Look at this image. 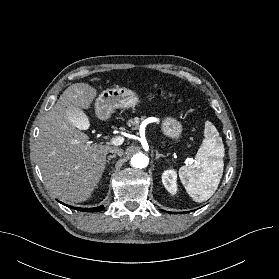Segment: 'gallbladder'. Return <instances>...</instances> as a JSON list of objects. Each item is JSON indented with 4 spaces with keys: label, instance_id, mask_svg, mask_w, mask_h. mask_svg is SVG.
I'll return each instance as SVG.
<instances>
[{
    "label": "gallbladder",
    "instance_id": "1",
    "mask_svg": "<svg viewBox=\"0 0 279 279\" xmlns=\"http://www.w3.org/2000/svg\"><path fill=\"white\" fill-rule=\"evenodd\" d=\"M68 118L70 120V122L75 125L76 127H79L81 129L84 128V125L86 123L85 117L83 112L75 107V106H71L68 108Z\"/></svg>",
    "mask_w": 279,
    "mask_h": 279
}]
</instances>
